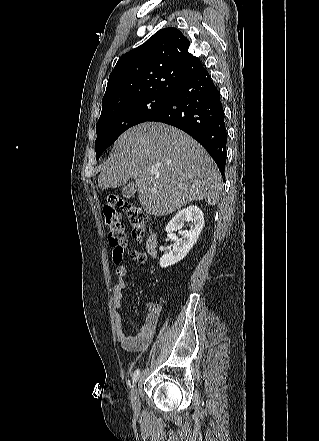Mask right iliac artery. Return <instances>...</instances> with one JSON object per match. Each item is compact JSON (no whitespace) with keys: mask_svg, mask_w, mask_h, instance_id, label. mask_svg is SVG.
<instances>
[{"mask_svg":"<svg viewBox=\"0 0 319 441\" xmlns=\"http://www.w3.org/2000/svg\"><path fill=\"white\" fill-rule=\"evenodd\" d=\"M139 375H140V370L137 369L132 376L133 384L137 382Z\"/></svg>","mask_w":319,"mask_h":441,"instance_id":"82829eb1","label":"right iliac artery"}]
</instances>
